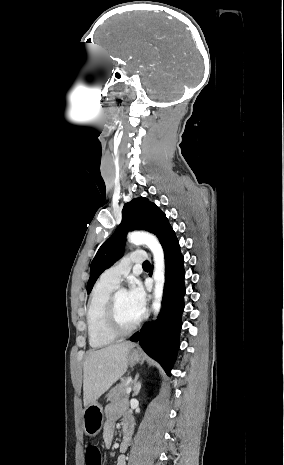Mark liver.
Returning <instances> with one entry per match:
<instances>
[{
    "instance_id": "liver-1",
    "label": "liver",
    "mask_w": 284,
    "mask_h": 465,
    "mask_svg": "<svg viewBox=\"0 0 284 465\" xmlns=\"http://www.w3.org/2000/svg\"><path fill=\"white\" fill-rule=\"evenodd\" d=\"M133 343L109 345L88 353L83 363V403L88 407L104 395L128 369V353Z\"/></svg>"
}]
</instances>
